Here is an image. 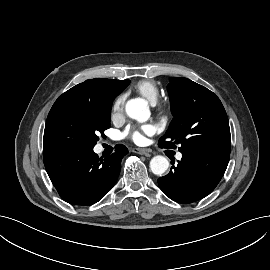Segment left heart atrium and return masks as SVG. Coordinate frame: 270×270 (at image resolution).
Masks as SVG:
<instances>
[{
	"mask_svg": "<svg viewBox=\"0 0 270 270\" xmlns=\"http://www.w3.org/2000/svg\"><path fill=\"white\" fill-rule=\"evenodd\" d=\"M156 128L153 124H144L139 128L129 129L126 134L136 143L143 140V134H153Z\"/></svg>",
	"mask_w": 270,
	"mask_h": 270,
	"instance_id": "obj_1",
	"label": "left heart atrium"
}]
</instances>
